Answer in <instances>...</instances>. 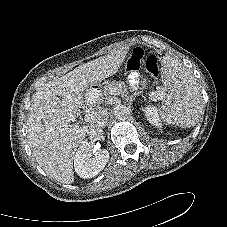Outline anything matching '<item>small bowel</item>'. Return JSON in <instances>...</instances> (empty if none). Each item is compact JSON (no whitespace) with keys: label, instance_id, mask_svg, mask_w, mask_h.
I'll return each mask as SVG.
<instances>
[{"label":"small bowel","instance_id":"c3829d8e","mask_svg":"<svg viewBox=\"0 0 227 227\" xmlns=\"http://www.w3.org/2000/svg\"><path fill=\"white\" fill-rule=\"evenodd\" d=\"M128 83L131 89H135L141 83L139 75L137 73H131L128 76Z\"/></svg>","mask_w":227,"mask_h":227}]
</instances>
